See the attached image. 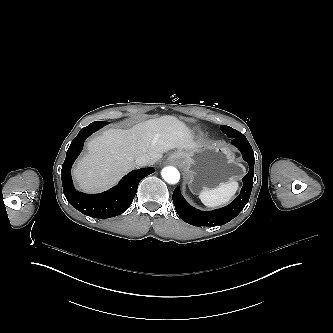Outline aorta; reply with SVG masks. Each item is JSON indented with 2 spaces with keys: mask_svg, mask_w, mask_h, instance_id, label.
Returning a JSON list of instances; mask_svg holds the SVG:
<instances>
[{
  "mask_svg": "<svg viewBox=\"0 0 333 333\" xmlns=\"http://www.w3.org/2000/svg\"><path fill=\"white\" fill-rule=\"evenodd\" d=\"M161 175L163 179L169 184H176L180 179V173L177 168L167 166L162 169Z\"/></svg>",
  "mask_w": 333,
  "mask_h": 333,
  "instance_id": "obj_1",
  "label": "aorta"
}]
</instances>
